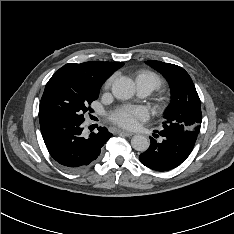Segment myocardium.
I'll list each match as a JSON object with an SVG mask.
<instances>
[{"mask_svg": "<svg viewBox=\"0 0 234 234\" xmlns=\"http://www.w3.org/2000/svg\"><path fill=\"white\" fill-rule=\"evenodd\" d=\"M164 104H165V102L161 101L159 106L162 108L164 106Z\"/></svg>", "mask_w": 234, "mask_h": 234, "instance_id": "f54148a6", "label": "myocardium"}]
</instances>
